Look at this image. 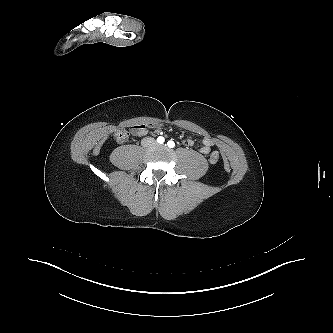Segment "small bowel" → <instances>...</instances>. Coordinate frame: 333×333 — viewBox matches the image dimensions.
I'll return each instance as SVG.
<instances>
[{
    "mask_svg": "<svg viewBox=\"0 0 333 333\" xmlns=\"http://www.w3.org/2000/svg\"><path fill=\"white\" fill-rule=\"evenodd\" d=\"M131 133L134 136H143L147 133V127L145 125H139V126H132L131 127ZM184 144L188 147H192L194 145L193 140L191 139H185ZM212 140L210 138H204L202 140L201 145L199 146V151L202 154H208L212 147Z\"/></svg>",
    "mask_w": 333,
    "mask_h": 333,
    "instance_id": "obj_1",
    "label": "small bowel"
}]
</instances>
